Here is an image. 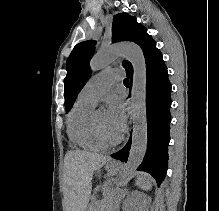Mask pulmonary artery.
Returning a JSON list of instances; mask_svg holds the SVG:
<instances>
[{
  "label": "pulmonary artery",
  "instance_id": "1",
  "mask_svg": "<svg viewBox=\"0 0 219 211\" xmlns=\"http://www.w3.org/2000/svg\"><path fill=\"white\" fill-rule=\"evenodd\" d=\"M122 69H108L101 71L87 82V84L80 91L78 98L97 104L99 98L110 88L113 82L122 79Z\"/></svg>",
  "mask_w": 219,
  "mask_h": 211
}]
</instances>
